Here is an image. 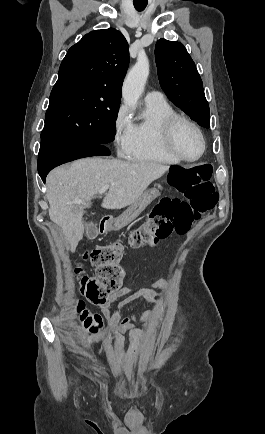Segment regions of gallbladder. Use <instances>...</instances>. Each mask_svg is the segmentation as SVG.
<instances>
[{"label":"gallbladder","instance_id":"1","mask_svg":"<svg viewBox=\"0 0 265 434\" xmlns=\"http://www.w3.org/2000/svg\"><path fill=\"white\" fill-rule=\"evenodd\" d=\"M86 236L87 238H89V240L96 238V236H98L97 226L94 223H91L90 225L87 224Z\"/></svg>","mask_w":265,"mask_h":434}]
</instances>
